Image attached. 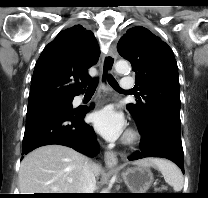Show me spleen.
Segmentation results:
<instances>
[{
  "label": "spleen",
  "mask_w": 208,
  "mask_h": 198,
  "mask_svg": "<svg viewBox=\"0 0 208 198\" xmlns=\"http://www.w3.org/2000/svg\"><path fill=\"white\" fill-rule=\"evenodd\" d=\"M154 160L166 183L172 186L174 191H181L183 188V175L180 169L170 161L163 159Z\"/></svg>",
  "instance_id": "spleen-1"
}]
</instances>
